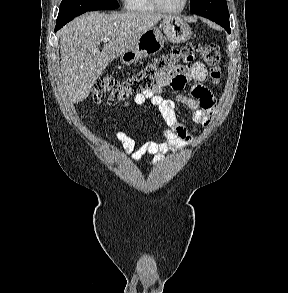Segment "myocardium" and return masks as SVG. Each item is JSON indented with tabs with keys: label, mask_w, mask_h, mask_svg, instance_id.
<instances>
[{
	"label": "myocardium",
	"mask_w": 288,
	"mask_h": 293,
	"mask_svg": "<svg viewBox=\"0 0 288 293\" xmlns=\"http://www.w3.org/2000/svg\"><path fill=\"white\" fill-rule=\"evenodd\" d=\"M151 1L154 4V6L157 8V10H160V11L165 12V13H170V14H177V13L182 12L186 8L187 3H188V0H183V2H182L180 7L175 8V9H170V8L165 7L160 2V0H151Z\"/></svg>",
	"instance_id": "1"
}]
</instances>
